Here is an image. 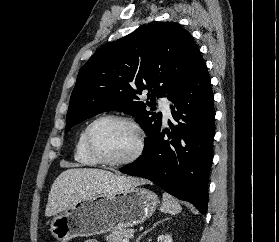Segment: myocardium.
Listing matches in <instances>:
<instances>
[{
	"label": "myocardium",
	"mask_w": 279,
	"mask_h": 242,
	"mask_svg": "<svg viewBox=\"0 0 279 242\" xmlns=\"http://www.w3.org/2000/svg\"><path fill=\"white\" fill-rule=\"evenodd\" d=\"M104 121L123 122V123L131 126L133 128V130L135 131L136 146H135L134 151L126 158H123L120 160H110V159L104 157L96 148L95 143H94V130L98 124H100L101 122H104ZM86 148H87L89 154L100 164H104V165L112 166V167L129 165V164L135 162L142 154V151L144 148V131H143L141 125L132 117L125 116V115H117V114H108V115L100 116V117L96 118L94 121H92L87 128Z\"/></svg>",
	"instance_id": "f54148a6"
}]
</instances>
